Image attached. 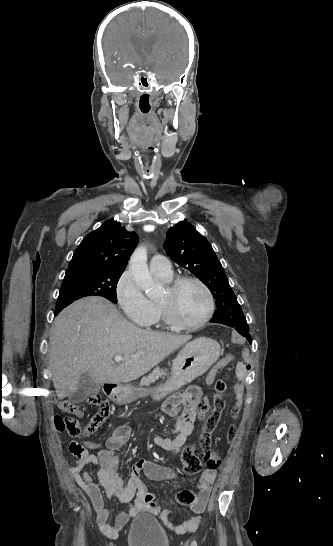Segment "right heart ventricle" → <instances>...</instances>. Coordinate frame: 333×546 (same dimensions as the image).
<instances>
[{"label":"right heart ventricle","instance_id":"obj_1","mask_svg":"<svg viewBox=\"0 0 333 546\" xmlns=\"http://www.w3.org/2000/svg\"><path fill=\"white\" fill-rule=\"evenodd\" d=\"M156 275V274H155ZM159 279H161L162 281L164 282H170L173 277H164V276H160V275H156ZM153 306H154V316L153 318L151 319V321L147 324L150 328H153V329H159L162 327L163 325V322H164V319H163V316H162V313H161V310L159 308V305H158V302H152Z\"/></svg>","mask_w":333,"mask_h":546}]
</instances>
